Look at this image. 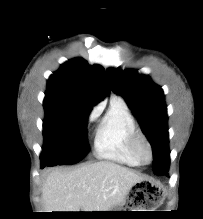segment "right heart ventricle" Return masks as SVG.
I'll return each mask as SVG.
<instances>
[{"instance_id":"right-heart-ventricle-1","label":"right heart ventricle","mask_w":203,"mask_h":219,"mask_svg":"<svg viewBox=\"0 0 203 219\" xmlns=\"http://www.w3.org/2000/svg\"><path fill=\"white\" fill-rule=\"evenodd\" d=\"M136 130V122L125 103L113 98L96 131L95 154L131 167L140 166L131 146V137Z\"/></svg>"}]
</instances>
